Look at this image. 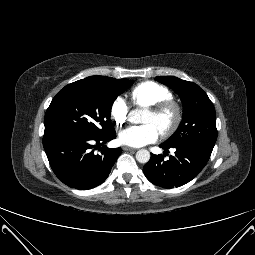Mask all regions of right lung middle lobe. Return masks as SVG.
I'll use <instances>...</instances> for the list:
<instances>
[{"mask_svg":"<svg viewBox=\"0 0 255 255\" xmlns=\"http://www.w3.org/2000/svg\"><path fill=\"white\" fill-rule=\"evenodd\" d=\"M132 83L128 79L110 78L101 83L64 87L47 109L44 134L79 132L101 137L115 131L110 120L112 104Z\"/></svg>","mask_w":255,"mask_h":255,"instance_id":"obj_1","label":"right lung middle lobe"}]
</instances>
